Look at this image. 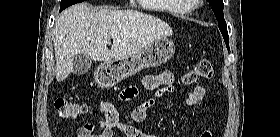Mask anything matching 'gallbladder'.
Wrapping results in <instances>:
<instances>
[{"label": "gallbladder", "mask_w": 280, "mask_h": 137, "mask_svg": "<svg viewBox=\"0 0 280 137\" xmlns=\"http://www.w3.org/2000/svg\"><path fill=\"white\" fill-rule=\"evenodd\" d=\"M92 65V59L86 55H78L74 58L72 73L75 75L85 74Z\"/></svg>", "instance_id": "obj_1"}]
</instances>
